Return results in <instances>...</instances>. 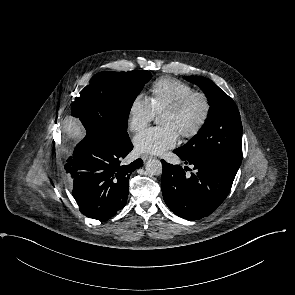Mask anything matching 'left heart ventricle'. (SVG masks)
Listing matches in <instances>:
<instances>
[{
    "instance_id": "b2bd125f",
    "label": "left heart ventricle",
    "mask_w": 295,
    "mask_h": 295,
    "mask_svg": "<svg viewBox=\"0 0 295 295\" xmlns=\"http://www.w3.org/2000/svg\"><path fill=\"white\" fill-rule=\"evenodd\" d=\"M202 103L200 100H194L189 108L181 115L163 113L160 116V124L174 128L178 133L189 130L198 121L202 113Z\"/></svg>"
}]
</instances>
